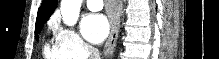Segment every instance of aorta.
Listing matches in <instances>:
<instances>
[{
  "label": "aorta",
  "instance_id": "aorta-1",
  "mask_svg": "<svg viewBox=\"0 0 219 59\" xmlns=\"http://www.w3.org/2000/svg\"><path fill=\"white\" fill-rule=\"evenodd\" d=\"M82 0H61L60 10L64 24L74 26L79 18Z\"/></svg>",
  "mask_w": 219,
  "mask_h": 59
}]
</instances>
